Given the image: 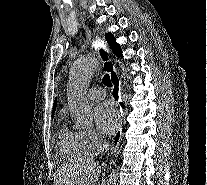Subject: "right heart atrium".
<instances>
[{
    "instance_id": "obj_1",
    "label": "right heart atrium",
    "mask_w": 207,
    "mask_h": 185,
    "mask_svg": "<svg viewBox=\"0 0 207 185\" xmlns=\"http://www.w3.org/2000/svg\"><path fill=\"white\" fill-rule=\"evenodd\" d=\"M87 139L96 147H101L105 143V139L95 130L87 129L83 131Z\"/></svg>"
}]
</instances>
